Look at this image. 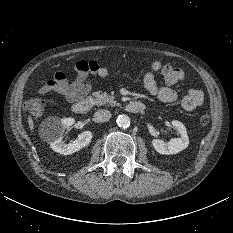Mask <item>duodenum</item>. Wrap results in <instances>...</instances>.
<instances>
[{
    "label": "duodenum",
    "mask_w": 233,
    "mask_h": 233,
    "mask_svg": "<svg viewBox=\"0 0 233 233\" xmlns=\"http://www.w3.org/2000/svg\"><path fill=\"white\" fill-rule=\"evenodd\" d=\"M93 105V100L88 98L78 99L72 105V110L76 114H86ZM125 109L130 113H142L145 105L139 101H131L125 105Z\"/></svg>",
    "instance_id": "obj_1"
}]
</instances>
